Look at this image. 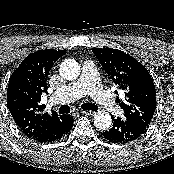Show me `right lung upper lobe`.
Masks as SVG:
<instances>
[{
	"mask_svg": "<svg viewBox=\"0 0 174 174\" xmlns=\"http://www.w3.org/2000/svg\"><path fill=\"white\" fill-rule=\"evenodd\" d=\"M66 50L45 49L29 54L12 73L7 89V106L22 132L31 139L51 134L69 121L70 115H49L41 104L47 93V76Z\"/></svg>",
	"mask_w": 174,
	"mask_h": 174,
	"instance_id": "right-lung-upper-lobe-1",
	"label": "right lung upper lobe"
}]
</instances>
